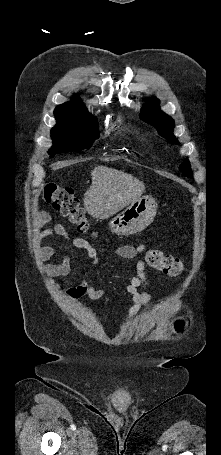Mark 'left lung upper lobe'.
Segmentation results:
<instances>
[{
  "label": "left lung upper lobe",
  "mask_w": 221,
  "mask_h": 455,
  "mask_svg": "<svg viewBox=\"0 0 221 455\" xmlns=\"http://www.w3.org/2000/svg\"><path fill=\"white\" fill-rule=\"evenodd\" d=\"M158 102V99L153 98L144 104L140 113V118L145 122L154 125L159 134L169 142L178 143L177 139L172 134L174 122L168 115L159 110ZM179 168L185 176H192L190 163L187 159L184 160Z\"/></svg>",
  "instance_id": "obj_1"
}]
</instances>
